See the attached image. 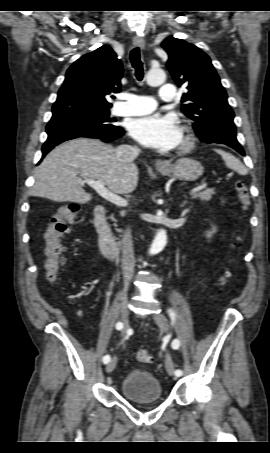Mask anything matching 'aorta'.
Returning a JSON list of instances; mask_svg holds the SVG:
<instances>
[{"instance_id": "obj_1", "label": "aorta", "mask_w": 270, "mask_h": 453, "mask_svg": "<svg viewBox=\"0 0 270 453\" xmlns=\"http://www.w3.org/2000/svg\"><path fill=\"white\" fill-rule=\"evenodd\" d=\"M166 75L162 69H151L147 73V83L151 86L161 85L165 81ZM167 243L166 231L161 229L157 232L155 239L151 245L149 253L151 255L158 254L161 252Z\"/></svg>"}]
</instances>
